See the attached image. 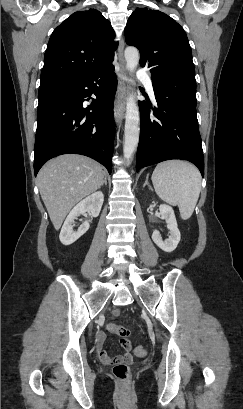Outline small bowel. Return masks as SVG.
I'll return each mask as SVG.
<instances>
[{
  "instance_id": "obj_1",
  "label": "small bowel",
  "mask_w": 243,
  "mask_h": 409,
  "mask_svg": "<svg viewBox=\"0 0 243 409\" xmlns=\"http://www.w3.org/2000/svg\"><path fill=\"white\" fill-rule=\"evenodd\" d=\"M105 334L102 331H98L94 335L93 344L98 358L105 364H115L120 361L130 362L132 360V346L128 339L121 340V346L125 350V353L121 356L112 357L106 349H104Z\"/></svg>"
}]
</instances>
